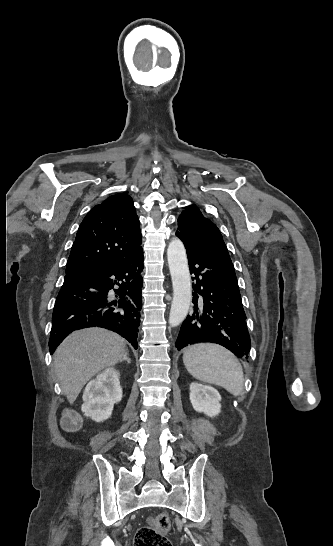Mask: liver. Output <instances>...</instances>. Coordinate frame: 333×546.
I'll list each match as a JSON object with an SVG mask.
<instances>
[{
    "label": "liver",
    "instance_id": "liver-1",
    "mask_svg": "<svg viewBox=\"0 0 333 546\" xmlns=\"http://www.w3.org/2000/svg\"><path fill=\"white\" fill-rule=\"evenodd\" d=\"M124 340L108 330L89 328L71 333L57 348L54 370L61 390L72 404L84 385L125 354Z\"/></svg>",
    "mask_w": 333,
    "mask_h": 546
}]
</instances>
